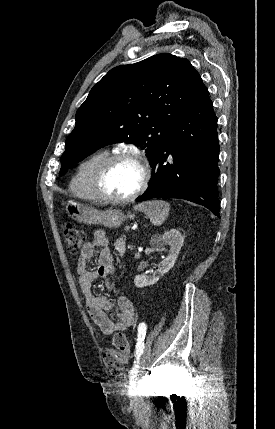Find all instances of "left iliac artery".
Segmentation results:
<instances>
[{"label":"left iliac artery","mask_w":275,"mask_h":429,"mask_svg":"<svg viewBox=\"0 0 275 429\" xmlns=\"http://www.w3.org/2000/svg\"><path fill=\"white\" fill-rule=\"evenodd\" d=\"M146 330H147L146 323H144V322L140 323L138 326L137 344H136V350H135L136 360H135L134 365L132 366V368L130 370V375H129V379H130L131 384H134L137 380V376H138V372H139L140 358H141V356L143 354V350H144V339H145V335H146Z\"/></svg>","instance_id":"44dca946"}]
</instances>
